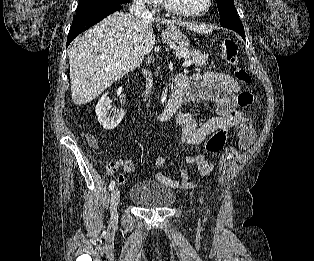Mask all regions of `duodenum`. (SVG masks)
I'll return each instance as SVG.
<instances>
[{"label": "duodenum", "mask_w": 314, "mask_h": 261, "mask_svg": "<svg viewBox=\"0 0 314 261\" xmlns=\"http://www.w3.org/2000/svg\"><path fill=\"white\" fill-rule=\"evenodd\" d=\"M192 93L186 88L183 76L179 75L175 80L174 90L166 105L158 112L160 121L170 120L175 117L182 105L192 99Z\"/></svg>", "instance_id": "1"}]
</instances>
